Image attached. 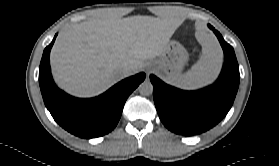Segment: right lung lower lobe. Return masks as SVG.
<instances>
[{
  "label": "right lung lower lobe",
  "mask_w": 279,
  "mask_h": 166,
  "mask_svg": "<svg viewBox=\"0 0 279 166\" xmlns=\"http://www.w3.org/2000/svg\"><path fill=\"white\" fill-rule=\"evenodd\" d=\"M56 36L45 48L39 68L45 106L61 127L78 137L96 138L111 132L121 117L128 96L145 79V74L126 78L95 98L72 97L60 90L51 77L49 55Z\"/></svg>",
  "instance_id": "1"
}]
</instances>
